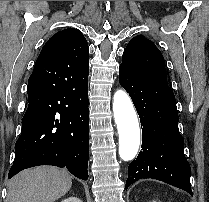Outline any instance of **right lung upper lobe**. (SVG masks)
I'll return each instance as SVG.
<instances>
[{"label": "right lung upper lobe", "mask_w": 209, "mask_h": 202, "mask_svg": "<svg viewBox=\"0 0 209 202\" xmlns=\"http://www.w3.org/2000/svg\"><path fill=\"white\" fill-rule=\"evenodd\" d=\"M37 60L53 61L56 73L69 77L76 84L88 81V44L78 29L67 28L54 34L42 48Z\"/></svg>", "instance_id": "obj_1"}]
</instances>
